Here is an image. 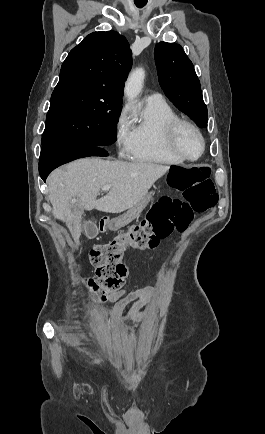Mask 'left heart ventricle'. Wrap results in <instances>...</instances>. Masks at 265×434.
<instances>
[{"instance_id": "obj_1", "label": "left heart ventricle", "mask_w": 265, "mask_h": 434, "mask_svg": "<svg viewBox=\"0 0 265 434\" xmlns=\"http://www.w3.org/2000/svg\"><path fill=\"white\" fill-rule=\"evenodd\" d=\"M179 146L184 156L188 158H196L201 152L199 138L189 129H184L179 136Z\"/></svg>"}]
</instances>
